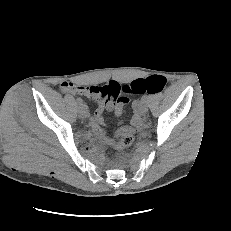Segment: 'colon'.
Wrapping results in <instances>:
<instances>
[{"label":"colon","instance_id":"1","mask_svg":"<svg viewBox=\"0 0 231 231\" xmlns=\"http://www.w3.org/2000/svg\"><path fill=\"white\" fill-rule=\"evenodd\" d=\"M166 78L161 75H152L147 78L136 79L129 84L120 85L117 83H109L104 91L108 98L114 100L120 97H133L136 95L149 93H161L166 86ZM134 141V135L131 129H127L120 136L119 140L113 145L115 150L128 148Z\"/></svg>","mask_w":231,"mask_h":231}]
</instances>
